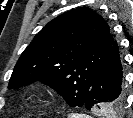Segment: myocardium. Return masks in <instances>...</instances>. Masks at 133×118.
Masks as SVG:
<instances>
[{"label": "myocardium", "instance_id": "1", "mask_svg": "<svg viewBox=\"0 0 133 118\" xmlns=\"http://www.w3.org/2000/svg\"><path fill=\"white\" fill-rule=\"evenodd\" d=\"M48 95L49 91L43 87L32 88L28 93L29 99L33 102L44 100Z\"/></svg>", "mask_w": 133, "mask_h": 118}]
</instances>
